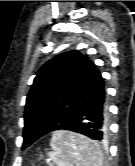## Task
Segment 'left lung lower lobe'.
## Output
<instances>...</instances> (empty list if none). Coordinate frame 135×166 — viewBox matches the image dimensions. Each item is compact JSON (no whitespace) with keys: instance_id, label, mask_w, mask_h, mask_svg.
Returning a JSON list of instances; mask_svg holds the SVG:
<instances>
[{"instance_id":"0a47b994","label":"left lung lower lobe","mask_w":135,"mask_h":166,"mask_svg":"<svg viewBox=\"0 0 135 166\" xmlns=\"http://www.w3.org/2000/svg\"><path fill=\"white\" fill-rule=\"evenodd\" d=\"M108 105L104 79L89 61L69 93L65 107L46 123L26 121L23 146L55 130H70L102 141L107 136Z\"/></svg>"}]
</instances>
